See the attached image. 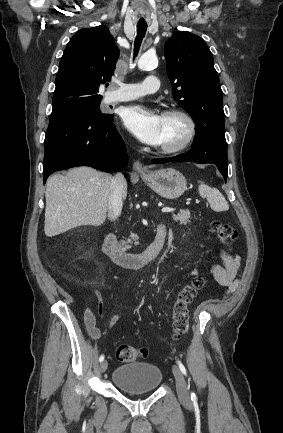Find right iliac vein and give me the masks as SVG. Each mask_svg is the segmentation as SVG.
Masks as SVG:
<instances>
[{
    "mask_svg": "<svg viewBox=\"0 0 283 433\" xmlns=\"http://www.w3.org/2000/svg\"><path fill=\"white\" fill-rule=\"evenodd\" d=\"M108 364L106 360H103L100 364V370L101 372H105L107 370Z\"/></svg>",
    "mask_w": 283,
    "mask_h": 433,
    "instance_id": "1",
    "label": "right iliac vein"
}]
</instances>
